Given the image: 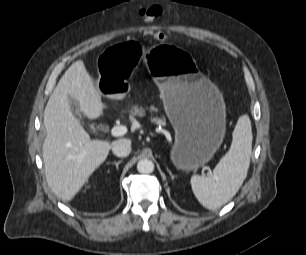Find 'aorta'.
Returning a JSON list of instances; mask_svg holds the SVG:
<instances>
[{"label":"aorta","instance_id":"1","mask_svg":"<svg viewBox=\"0 0 306 255\" xmlns=\"http://www.w3.org/2000/svg\"><path fill=\"white\" fill-rule=\"evenodd\" d=\"M137 170L141 174H150L154 171V163L149 159H142L137 163Z\"/></svg>","mask_w":306,"mask_h":255}]
</instances>
